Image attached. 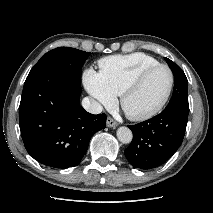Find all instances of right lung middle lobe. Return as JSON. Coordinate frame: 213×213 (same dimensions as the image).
<instances>
[{
    "label": "right lung middle lobe",
    "mask_w": 213,
    "mask_h": 213,
    "mask_svg": "<svg viewBox=\"0 0 213 213\" xmlns=\"http://www.w3.org/2000/svg\"><path fill=\"white\" fill-rule=\"evenodd\" d=\"M89 55V52L75 48L58 47L47 52L31 69L29 74L42 70H57L80 83L81 67Z\"/></svg>",
    "instance_id": "obj_1"
}]
</instances>
